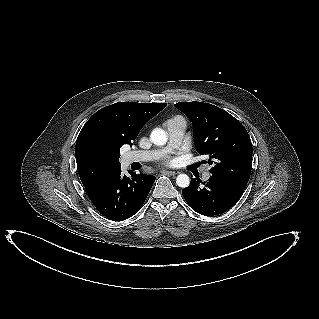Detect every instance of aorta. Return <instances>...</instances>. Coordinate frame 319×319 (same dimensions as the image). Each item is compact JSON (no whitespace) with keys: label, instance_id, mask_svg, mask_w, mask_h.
I'll return each mask as SVG.
<instances>
[{"label":"aorta","instance_id":"aorta-1","mask_svg":"<svg viewBox=\"0 0 319 319\" xmlns=\"http://www.w3.org/2000/svg\"><path fill=\"white\" fill-rule=\"evenodd\" d=\"M150 140L155 145H165L168 140V136L163 129L155 128L150 134ZM176 184L182 188L188 187L190 184L189 176L186 174H179L176 178Z\"/></svg>","mask_w":319,"mask_h":319}]
</instances>
